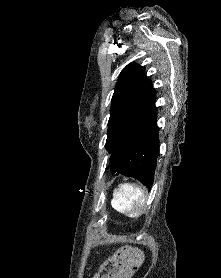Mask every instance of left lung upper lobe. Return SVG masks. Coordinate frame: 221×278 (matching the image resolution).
Listing matches in <instances>:
<instances>
[{"mask_svg":"<svg viewBox=\"0 0 221 278\" xmlns=\"http://www.w3.org/2000/svg\"><path fill=\"white\" fill-rule=\"evenodd\" d=\"M155 97L145 70L135 63L120 73L112 97L105 148L111 153Z\"/></svg>","mask_w":221,"mask_h":278,"instance_id":"left-lung-upper-lobe-1","label":"left lung upper lobe"}]
</instances>
